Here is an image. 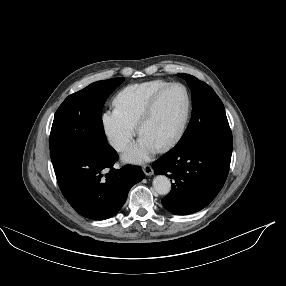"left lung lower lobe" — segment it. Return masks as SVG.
<instances>
[{
	"mask_svg": "<svg viewBox=\"0 0 286 286\" xmlns=\"http://www.w3.org/2000/svg\"><path fill=\"white\" fill-rule=\"evenodd\" d=\"M232 143H202L173 148L153 163L154 173L174 179L163 206L177 215L206 207L222 189L228 176Z\"/></svg>",
	"mask_w": 286,
	"mask_h": 286,
	"instance_id": "0a47b994",
	"label": "left lung lower lobe"
}]
</instances>
